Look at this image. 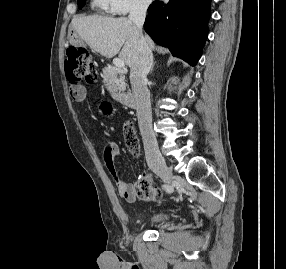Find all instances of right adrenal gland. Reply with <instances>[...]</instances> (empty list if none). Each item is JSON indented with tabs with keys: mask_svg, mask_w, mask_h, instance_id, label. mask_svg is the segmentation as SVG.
<instances>
[{
	"mask_svg": "<svg viewBox=\"0 0 286 269\" xmlns=\"http://www.w3.org/2000/svg\"><path fill=\"white\" fill-rule=\"evenodd\" d=\"M154 66H155V63L152 65V68H151V73L153 72V68H154Z\"/></svg>",
	"mask_w": 286,
	"mask_h": 269,
	"instance_id": "right-adrenal-gland-1",
	"label": "right adrenal gland"
}]
</instances>
